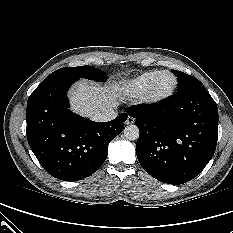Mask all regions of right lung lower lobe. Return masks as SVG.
<instances>
[{
	"label": "right lung lower lobe",
	"instance_id": "right-lung-lower-lobe-1",
	"mask_svg": "<svg viewBox=\"0 0 233 233\" xmlns=\"http://www.w3.org/2000/svg\"><path fill=\"white\" fill-rule=\"evenodd\" d=\"M78 79L59 78L38 86L27 102V139L42 167L65 181L84 179L104 163L109 142L128 115L94 122L69 110L66 93Z\"/></svg>",
	"mask_w": 233,
	"mask_h": 233
}]
</instances>
